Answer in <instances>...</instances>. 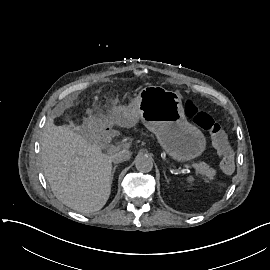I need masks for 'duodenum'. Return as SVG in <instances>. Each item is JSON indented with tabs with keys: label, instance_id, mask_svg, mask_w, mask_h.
I'll return each instance as SVG.
<instances>
[{
	"label": "duodenum",
	"instance_id": "obj_1",
	"mask_svg": "<svg viewBox=\"0 0 270 270\" xmlns=\"http://www.w3.org/2000/svg\"><path fill=\"white\" fill-rule=\"evenodd\" d=\"M112 131H113V128L110 126V127L107 128L106 134L109 135V134L112 133Z\"/></svg>",
	"mask_w": 270,
	"mask_h": 270
}]
</instances>
